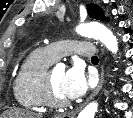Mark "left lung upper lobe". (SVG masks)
Segmentation results:
<instances>
[{
	"label": "left lung upper lobe",
	"mask_w": 133,
	"mask_h": 118,
	"mask_svg": "<svg viewBox=\"0 0 133 118\" xmlns=\"http://www.w3.org/2000/svg\"><path fill=\"white\" fill-rule=\"evenodd\" d=\"M87 11H88V15L91 18L102 20V21H104L106 19L103 11L101 10V8L98 5L88 4L87 5Z\"/></svg>",
	"instance_id": "obj_1"
}]
</instances>
